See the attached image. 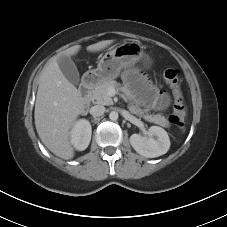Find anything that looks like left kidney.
Listing matches in <instances>:
<instances>
[{
  "label": "left kidney",
  "mask_w": 227,
  "mask_h": 227,
  "mask_svg": "<svg viewBox=\"0 0 227 227\" xmlns=\"http://www.w3.org/2000/svg\"><path fill=\"white\" fill-rule=\"evenodd\" d=\"M148 131V137L139 134L130 136V144L134 150L147 158H155L167 153L170 148L168 133L159 126H151Z\"/></svg>",
  "instance_id": "obj_1"
}]
</instances>
